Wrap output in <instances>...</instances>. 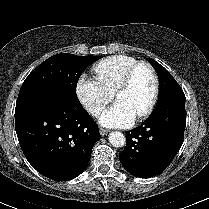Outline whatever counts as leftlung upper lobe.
<instances>
[{
    "mask_svg": "<svg viewBox=\"0 0 209 209\" xmlns=\"http://www.w3.org/2000/svg\"><path fill=\"white\" fill-rule=\"evenodd\" d=\"M159 77V96L157 105L173 99H185L184 92L172 75L158 62L149 58Z\"/></svg>",
    "mask_w": 209,
    "mask_h": 209,
    "instance_id": "left-lung-upper-lobe-1",
    "label": "left lung upper lobe"
}]
</instances>
